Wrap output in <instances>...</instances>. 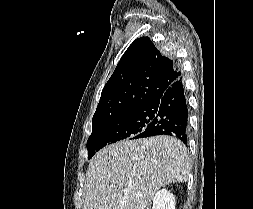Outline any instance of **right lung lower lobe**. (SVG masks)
<instances>
[{"label": "right lung lower lobe", "mask_w": 253, "mask_h": 209, "mask_svg": "<svg viewBox=\"0 0 253 209\" xmlns=\"http://www.w3.org/2000/svg\"><path fill=\"white\" fill-rule=\"evenodd\" d=\"M149 106L153 107L155 117L138 135V138L170 135L186 144L188 107L182 78L174 81L163 95Z\"/></svg>", "instance_id": "right-lung-lower-lobe-1"}]
</instances>
